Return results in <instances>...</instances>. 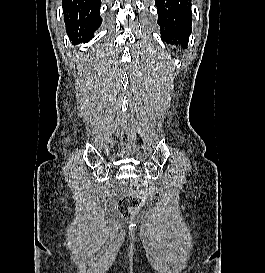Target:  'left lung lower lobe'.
Returning a JSON list of instances; mask_svg holds the SVG:
<instances>
[{
    "label": "left lung lower lobe",
    "instance_id": "0a47b994",
    "mask_svg": "<svg viewBox=\"0 0 265 273\" xmlns=\"http://www.w3.org/2000/svg\"><path fill=\"white\" fill-rule=\"evenodd\" d=\"M162 41L186 48L191 34L190 0H155Z\"/></svg>",
    "mask_w": 265,
    "mask_h": 273
}]
</instances>
